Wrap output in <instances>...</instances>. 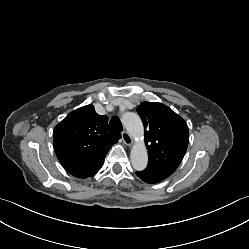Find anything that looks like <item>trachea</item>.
<instances>
[{
	"label": "trachea",
	"instance_id": "obj_1",
	"mask_svg": "<svg viewBox=\"0 0 249 249\" xmlns=\"http://www.w3.org/2000/svg\"><path fill=\"white\" fill-rule=\"evenodd\" d=\"M109 125L111 126L112 129H114L117 132L122 131V123L118 117H112Z\"/></svg>",
	"mask_w": 249,
	"mask_h": 249
}]
</instances>
